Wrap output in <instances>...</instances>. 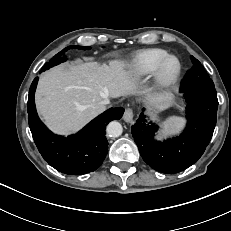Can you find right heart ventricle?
<instances>
[{
	"label": "right heart ventricle",
	"mask_w": 231,
	"mask_h": 231,
	"mask_svg": "<svg viewBox=\"0 0 231 231\" xmlns=\"http://www.w3.org/2000/svg\"><path fill=\"white\" fill-rule=\"evenodd\" d=\"M168 55L162 48H148L137 52L128 63V73L134 79L150 76L159 62Z\"/></svg>",
	"instance_id": "1"
}]
</instances>
